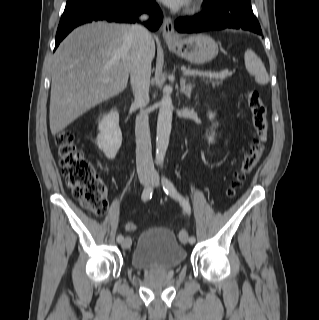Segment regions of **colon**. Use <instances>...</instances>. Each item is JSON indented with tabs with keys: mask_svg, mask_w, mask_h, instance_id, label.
Listing matches in <instances>:
<instances>
[{
	"mask_svg": "<svg viewBox=\"0 0 319 320\" xmlns=\"http://www.w3.org/2000/svg\"><path fill=\"white\" fill-rule=\"evenodd\" d=\"M247 103L254 135L250 149L241 160L227 190L228 197L235 196V190L261 160L268 142L267 108L259 92L255 89L247 93ZM59 164L67 185L73 196L92 214L100 216L107 209L106 187L99 177L91 159L77 146L74 134L69 130L61 131L56 136ZM127 231H136L134 223H126Z\"/></svg>",
	"mask_w": 319,
	"mask_h": 320,
	"instance_id": "colon-1",
	"label": "colon"
}]
</instances>
